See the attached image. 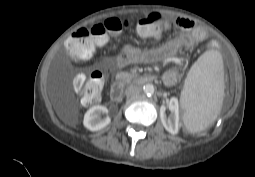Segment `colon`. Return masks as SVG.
<instances>
[{"label":"colon","instance_id":"colon-1","mask_svg":"<svg viewBox=\"0 0 255 177\" xmlns=\"http://www.w3.org/2000/svg\"><path fill=\"white\" fill-rule=\"evenodd\" d=\"M132 26L143 37H154L161 33L165 26L162 15L148 12L135 21L110 18L102 23L84 27L69 37L65 43L67 54L77 60L89 59L94 51L103 46L108 35L119 34ZM105 84V74L101 70L92 71L88 77L79 74L75 77L74 88L81 95L85 104L94 105L99 102Z\"/></svg>","mask_w":255,"mask_h":177}]
</instances>
